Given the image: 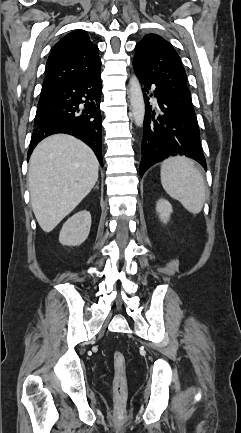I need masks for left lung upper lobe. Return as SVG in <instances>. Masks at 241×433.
<instances>
[{
    "instance_id": "left-lung-upper-lobe-1",
    "label": "left lung upper lobe",
    "mask_w": 241,
    "mask_h": 433,
    "mask_svg": "<svg viewBox=\"0 0 241 433\" xmlns=\"http://www.w3.org/2000/svg\"><path fill=\"white\" fill-rule=\"evenodd\" d=\"M133 66L136 73L162 87L197 120L185 69L169 42L157 34H147L135 47Z\"/></svg>"
}]
</instances>
